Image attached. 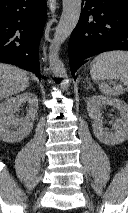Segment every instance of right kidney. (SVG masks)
<instances>
[{
	"instance_id": "right-kidney-1",
	"label": "right kidney",
	"mask_w": 128,
	"mask_h": 213,
	"mask_svg": "<svg viewBox=\"0 0 128 213\" xmlns=\"http://www.w3.org/2000/svg\"><path fill=\"white\" fill-rule=\"evenodd\" d=\"M23 103H28L29 109L24 118H16L14 112ZM38 110V98L35 94L25 92L10 97L0 103V140L7 143H17L23 140L33 129V121Z\"/></svg>"
}]
</instances>
